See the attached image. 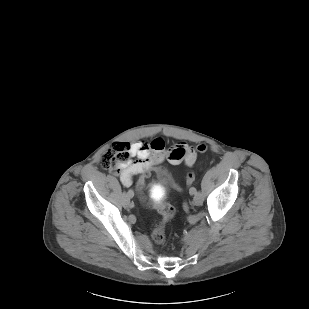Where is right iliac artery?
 I'll return each mask as SVG.
<instances>
[{
    "label": "right iliac artery",
    "instance_id": "right-iliac-artery-1",
    "mask_svg": "<svg viewBox=\"0 0 309 309\" xmlns=\"http://www.w3.org/2000/svg\"><path fill=\"white\" fill-rule=\"evenodd\" d=\"M132 195H134V190L132 188H127V196L131 197Z\"/></svg>",
    "mask_w": 309,
    "mask_h": 309
}]
</instances>
